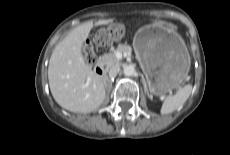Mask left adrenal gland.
Instances as JSON below:
<instances>
[{
  "instance_id": "a2214340",
  "label": "left adrenal gland",
  "mask_w": 230,
  "mask_h": 155,
  "mask_svg": "<svg viewBox=\"0 0 230 155\" xmlns=\"http://www.w3.org/2000/svg\"><path fill=\"white\" fill-rule=\"evenodd\" d=\"M142 82H143V85H144V88H145V91H146L148 97H150V95H149V93H148V91H147L146 83H145V80H144V77H143V76H142Z\"/></svg>"
}]
</instances>
